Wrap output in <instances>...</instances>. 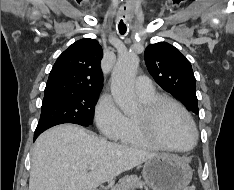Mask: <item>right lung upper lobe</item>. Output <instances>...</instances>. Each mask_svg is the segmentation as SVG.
Segmentation results:
<instances>
[{
	"label": "right lung upper lobe",
	"instance_id": "1",
	"mask_svg": "<svg viewBox=\"0 0 234 190\" xmlns=\"http://www.w3.org/2000/svg\"><path fill=\"white\" fill-rule=\"evenodd\" d=\"M102 57L98 41L90 38L76 41L57 58L46 88L100 92L103 87Z\"/></svg>",
	"mask_w": 234,
	"mask_h": 190
}]
</instances>
